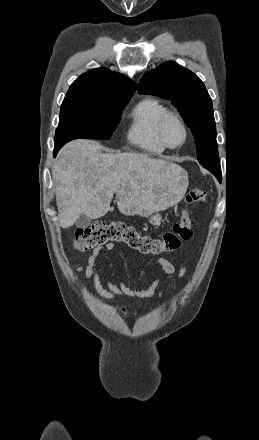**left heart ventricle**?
Segmentation results:
<instances>
[{"label": "left heart ventricle", "instance_id": "obj_1", "mask_svg": "<svg viewBox=\"0 0 259 440\" xmlns=\"http://www.w3.org/2000/svg\"><path fill=\"white\" fill-rule=\"evenodd\" d=\"M165 137L170 145L179 144L184 138V132L175 119H170L165 127Z\"/></svg>", "mask_w": 259, "mask_h": 440}]
</instances>
